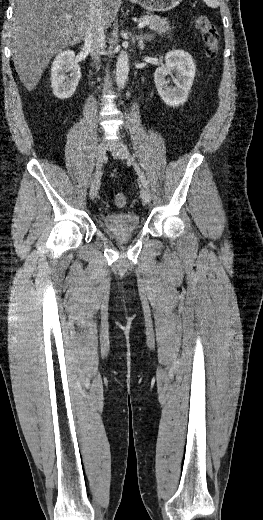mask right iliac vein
I'll list each match as a JSON object with an SVG mask.
<instances>
[{
	"mask_svg": "<svg viewBox=\"0 0 263 520\" xmlns=\"http://www.w3.org/2000/svg\"><path fill=\"white\" fill-rule=\"evenodd\" d=\"M96 172L94 174V177L91 181L90 186V198L95 199L99 188H100V180H101V167L105 158V147L103 144H100L98 146L97 152H96Z\"/></svg>",
	"mask_w": 263,
	"mask_h": 520,
	"instance_id": "63e3f726",
	"label": "right iliac vein"
}]
</instances>
